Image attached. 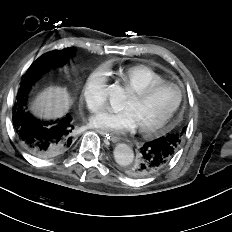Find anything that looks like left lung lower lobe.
Masks as SVG:
<instances>
[{
  "instance_id": "obj_1",
  "label": "left lung lower lobe",
  "mask_w": 232,
  "mask_h": 232,
  "mask_svg": "<svg viewBox=\"0 0 232 232\" xmlns=\"http://www.w3.org/2000/svg\"><path fill=\"white\" fill-rule=\"evenodd\" d=\"M174 154L172 148L160 139L146 142L139 150L137 162L130 165L127 173L133 174L134 178L155 174L170 162Z\"/></svg>"
}]
</instances>
